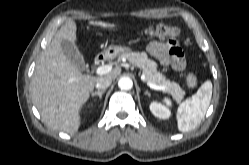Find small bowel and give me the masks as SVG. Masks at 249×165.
I'll list each match as a JSON object with an SVG mask.
<instances>
[{
    "instance_id": "small-bowel-1",
    "label": "small bowel",
    "mask_w": 249,
    "mask_h": 165,
    "mask_svg": "<svg viewBox=\"0 0 249 165\" xmlns=\"http://www.w3.org/2000/svg\"><path fill=\"white\" fill-rule=\"evenodd\" d=\"M148 51L162 66H170L176 71L185 68L183 53L177 41L173 39L152 42L148 46Z\"/></svg>"
}]
</instances>
